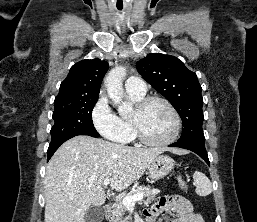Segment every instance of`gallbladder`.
I'll return each mask as SVG.
<instances>
[{
  "label": "gallbladder",
  "mask_w": 257,
  "mask_h": 222,
  "mask_svg": "<svg viewBox=\"0 0 257 222\" xmlns=\"http://www.w3.org/2000/svg\"><path fill=\"white\" fill-rule=\"evenodd\" d=\"M103 218V209L96 206H90L85 215V222H102Z\"/></svg>",
  "instance_id": "obj_1"
}]
</instances>
